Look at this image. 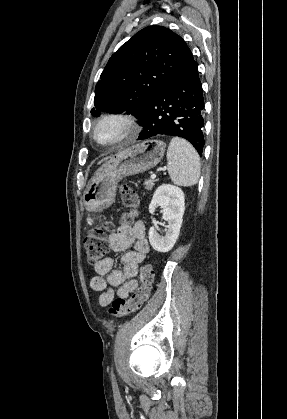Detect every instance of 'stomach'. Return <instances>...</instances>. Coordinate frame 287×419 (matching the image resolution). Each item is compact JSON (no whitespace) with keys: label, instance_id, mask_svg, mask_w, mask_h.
Here are the masks:
<instances>
[{"label":"stomach","instance_id":"0dacf381","mask_svg":"<svg viewBox=\"0 0 287 419\" xmlns=\"http://www.w3.org/2000/svg\"><path fill=\"white\" fill-rule=\"evenodd\" d=\"M166 144L151 139L125 148L109 158L93 175L83 193L86 208L101 211L115 200L118 183L125 177L154 168L164 156Z\"/></svg>","mask_w":287,"mask_h":419}]
</instances>
